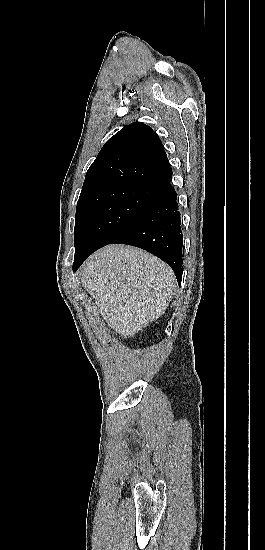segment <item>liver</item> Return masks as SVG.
Masks as SVG:
<instances>
[{"instance_id":"liver-1","label":"liver","mask_w":265,"mask_h":550,"mask_svg":"<svg viewBox=\"0 0 265 550\" xmlns=\"http://www.w3.org/2000/svg\"><path fill=\"white\" fill-rule=\"evenodd\" d=\"M172 269L141 249L109 245L89 257L81 282L119 335L134 336L161 317L175 288Z\"/></svg>"}]
</instances>
